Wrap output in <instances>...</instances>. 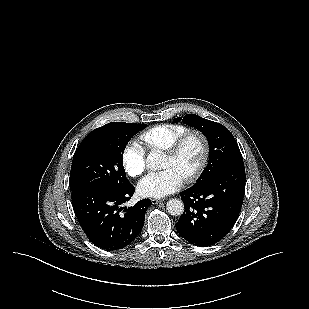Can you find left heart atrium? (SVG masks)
<instances>
[{
  "mask_svg": "<svg viewBox=\"0 0 309 309\" xmlns=\"http://www.w3.org/2000/svg\"><path fill=\"white\" fill-rule=\"evenodd\" d=\"M183 178L173 169L153 172L138 183V193L143 197L163 198L178 190Z\"/></svg>",
  "mask_w": 309,
  "mask_h": 309,
  "instance_id": "left-heart-atrium-1",
  "label": "left heart atrium"
}]
</instances>
